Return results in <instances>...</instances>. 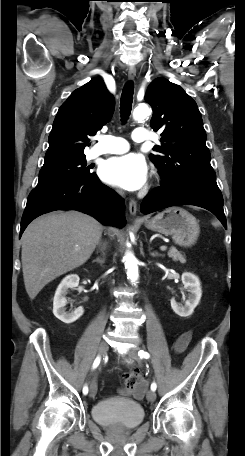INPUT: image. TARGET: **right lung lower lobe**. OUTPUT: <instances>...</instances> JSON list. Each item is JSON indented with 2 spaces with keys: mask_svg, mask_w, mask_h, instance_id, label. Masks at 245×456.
<instances>
[{
  "mask_svg": "<svg viewBox=\"0 0 245 456\" xmlns=\"http://www.w3.org/2000/svg\"><path fill=\"white\" fill-rule=\"evenodd\" d=\"M71 209L89 214L104 225L122 227L126 223L123 199L101 183L96 175L84 181L32 190L21 220L20 236L36 217L55 210Z\"/></svg>",
  "mask_w": 245,
  "mask_h": 456,
  "instance_id": "right-lung-lower-lobe-1",
  "label": "right lung lower lobe"
}]
</instances>
